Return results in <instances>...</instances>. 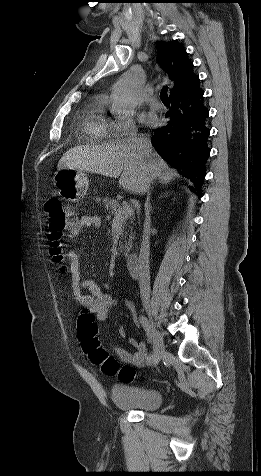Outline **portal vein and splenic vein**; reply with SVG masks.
I'll list each match as a JSON object with an SVG mask.
<instances>
[{"mask_svg": "<svg viewBox=\"0 0 261 476\" xmlns=\"http://www.w3.org/2000/svg\"><path fill=\"white\" fill-rule=\"evenodd\" d=\"M133 213H134V210H133L132 205H130L126 202H123L122 208H121V210L118 211V213H116V215L114 216V220H116V221L121 220L122 221L125 218H127L128 216H131Z\"/></svg>", "mask_w": 261, "mask_h": 476, "instance_id": "portal-vein-and-splenic-vein-1", "label": "portal vein and splenic vein"}]
</instances>
